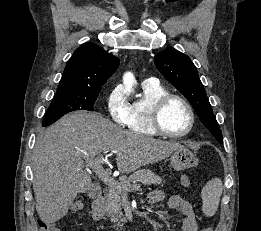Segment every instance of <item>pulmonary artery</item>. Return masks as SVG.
I'll return each mask as SVG.
<instances>
[{
	"mask_svg": "<svg viewBox=\"0 0 261 231\" xmlns=\"http://www.w3.org/2000/svg\"><path fill=\"white\" fill-rule=\"evenodd\" d=\"M156 84V79L155 78H147L143 81V85H153Z\"/></svg>",
	"mask_w": 261,
	"mask_h": 231,
	"instance_id": "pulmonary-artery-1",
	"label": "pulmonary artery"
}]
</instances>
